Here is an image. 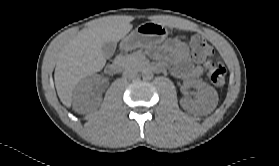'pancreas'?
<instances>
[{"label": "pancreas", "mask_w": 279, "mask_h": 166, "mask_svg": "<svg viewBox=\"0 0 279 166\" xmlns=\"http://www.w3.org/2000/svg\"><path fill=\"white\" fill-rule=\"evenodd\" d=\"M120 60L124 67H138L142 65V60L135 54L121 56Z\"/></svg>", "instance_id": "pancreas-1"}]
</instances>
